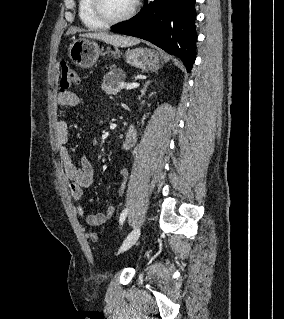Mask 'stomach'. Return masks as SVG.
<instances>
[{"label":"stomach","instance_id":"obj_1","mask_svg":"<svg viewBox=\"0 0 284 319\" xmlns=\"http://www.w3.org/2000/svg\"><path fill=\"white\" fill-rule=\"evenodd\" d=\"M103 51L95 41L85 37L74 40L68 49L72 62L82 68L92 67L99 56L104 55ZM109 52L114 57L122 54L117 47ZM124 56L128 64L143 71H156L162 65L159 52L149 48L128 49Z\"/></svg>","mask_w":284,"mask_h":319}]
</instances>
